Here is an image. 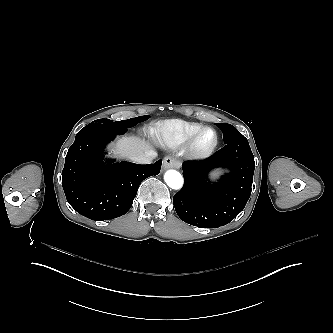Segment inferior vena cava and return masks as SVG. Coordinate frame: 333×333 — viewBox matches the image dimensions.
<instances>
[{"label":"inferior vena cava","mask_w":333,"mask_h":333,"mask_svg":"<svg viewBox=\"0 0 333 333\" xmlns=\"http://www.w3.org/2000/svg\"><path fill=\"white\" fill-rule=\"evenodd\" d=\"M157 157V152L153 149L145 151L144 154L130 158L133 162L138 164H150L154 158Z\"/></svg>","instance_id":"602c4592"}]
</instances>
